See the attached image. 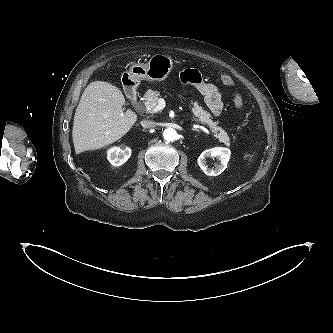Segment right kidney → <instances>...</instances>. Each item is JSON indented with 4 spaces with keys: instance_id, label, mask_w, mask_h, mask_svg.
Masks as SVG:
<instances>
[{
    "instance_id": "ca27d5eb",
    "label": "right kidney",
    "mask_w": 333,
    "mask_h": 333,
    "mask_svg": "<svg viewBox=\"0 0 333 333\" xmlns=\"http://www.w3.org/2000/svg\"><path fill=\"white\" fill-rule=\"evenodd\" d=\"M131 156V149L128 147H111L107 150V159L113 166H121Z\"/></svg>"
}]
</instances>
